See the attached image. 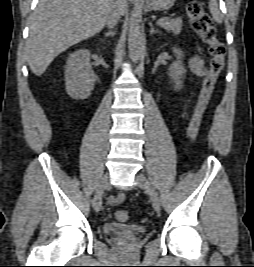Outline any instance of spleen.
Wrapping results in <instances>:
<instances>
[{
	"instance_id": "3e777b00",
	"label": "spleen",
	"mask_w": 254,
	"mask_h": 267,
	"mask_svg": "<svg viewBox=\"0 0 254 267\" xmlns=\"http://www.w3.org/2000/svg\"><path fill=\"white\" fill-rule=\"evenodd\" d=\"M209 10H210V13H211L213 19L217 23H221L223 20V16L218 9L217 0H210L209 1Z\"/></svg>"
}]
</instances>
